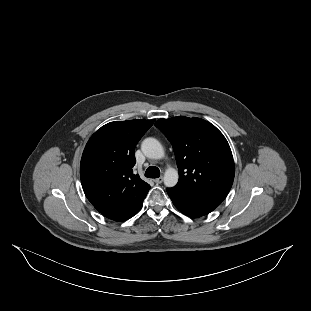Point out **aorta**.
<instances>
[{
	"instance_id": "obj_1",
	"label": "aorta",
	"mask_w": 311,
	"mask_h": 311,
	"mask_svg": "<svg viewBox=\"0 0 311 311\" xmlns=\"http://www.w3.org/2000/svg\"><path fill=\"white\" fill-rule=\"evenodd\" d=\"M142 152L152 160H162L165 158V149L163 145L155 138H147L142 143ZM178 182V171L173 166L168 165L164 172V184L172 187Z\"/></svg>"
}]
</instances>
